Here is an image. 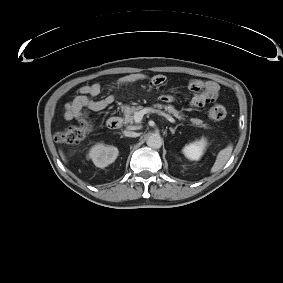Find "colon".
I'll return each mask as SVG.
<instances>
[{
    "mask_svg": "<svg viewBox=\"0 0 283 283\" xmlns=\"http://www.w3.org/2000/svg\"><path fill=\"white\" fill-rule=\"evenodd\" d=\"M208 115L213 121H221L226 118L227 110L221 104L210 107ZM92 130V123L87 118H82L77 125L69 126L56 135V140L64 144H76L82 141Z\"/></svg>",
    "mask_w": 283,
    "mask_h": 283,
    "instance_id": "colon-1",
    "label": "colon"
}]
</instances>
